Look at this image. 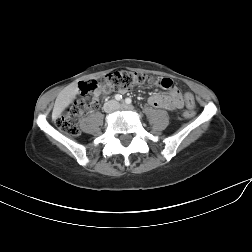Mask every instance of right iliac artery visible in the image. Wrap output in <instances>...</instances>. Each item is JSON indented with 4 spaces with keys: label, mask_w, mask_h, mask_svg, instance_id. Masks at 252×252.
Wrapping results in <instances>:
<instances>
[{
    "label": "right iliac artery",
    "mask_w": 252,
    "mask_h": 252,
    "mask_svg": "<svg viewBox=\"0 0 252 252\" xmlns=\"http://www.w3.org/2000/svg\"><path fill=\"white\" fill-rule=\"evenodd\" d=\"M115 99H116L117 101H120V100L122 99V95L116 94V95H115Z\"/></svg>",
    "instance_id": "obj_1"
}]
</instances>
